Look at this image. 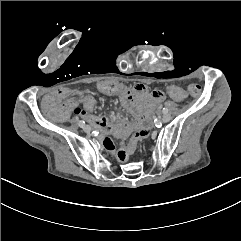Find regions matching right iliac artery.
Returning a JSON list of instances; mask_svg holds the SVG:
<instances>
[{
    "instance_id": "82829eb1",
    "label": "right iliac artery",
    "mask_w": 241,
    "mask_h": 241,
    "mask_svg": "<svg viewBox=\"0 0 241 241\" xmlns=\"http://www.w3.org/2000/svg\"><path fill=\"white\" fill-rule=\"evenodd\" d=\"M78 124L81 128H83L85 125V122L83 120H80Z\"/></svg>"
}]
</instances>
